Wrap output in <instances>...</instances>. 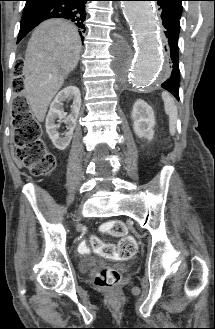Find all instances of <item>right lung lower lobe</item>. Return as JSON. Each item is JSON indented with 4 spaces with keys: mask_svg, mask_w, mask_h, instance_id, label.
Masks as SVG:
<instances>
[{
    "mask_svg": "<svg viewBox=\"0 0 215 329\" xmlns=\"http://www.w3.org/2000/svg\"><path fill=\"white\" fill-rule=\"evenodd\" d=\"M20 31L17 43L21 41L40 22L62 17L69 19L79 28L82 36L85 33V4L89 0H25Z\"/></svg>",
    "mask_w": 215,
    "mask_h": 329,
    "instance_id": "obj_1",
    "label": "right lung lower lobe"
}]
</instances>
